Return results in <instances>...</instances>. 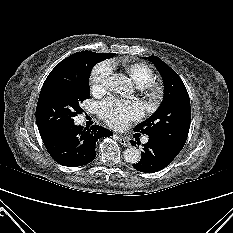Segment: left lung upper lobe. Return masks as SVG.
Returning <instances> with one entry per match:
<instances>
[{
	"label": "left lung upper lobe",
	"mask_w": 233,
	"mask_h": 233,
	"mask_svg": "<svg viewBox=\"0 0 233 233\" xmlns=\"http://www.w3.org/2000/svg\"><path fill=\"white\" fill-rule=\"evenodd\" d=\"M158 69L164 82V98L157 111L139 123L135 132L164 143L180 152L184 147L191 122L188 92L178 74L157 56L144 57Z\"/></svg>",
	"instance_id": "obj_1"
}]
</instances>
